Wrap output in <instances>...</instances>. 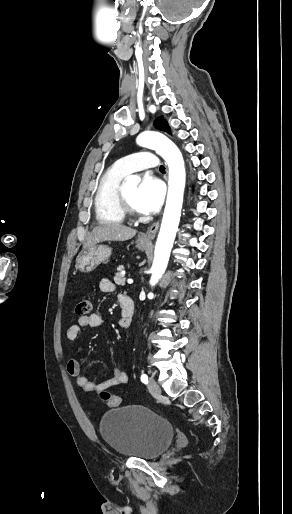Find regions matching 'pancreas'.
<instances>
[{
	"instance_id": "1",
	"label": "pancreas",
	"mask_w": 292,
	"mask_h": 514,
	"mask_svg": "<svg viewBox=\"0 0 292 514\" xmlns=\"http://www.w3.org/2000/svg\"><path fill=\"white\" fill-rule=\"evenodd\" d=\"M122 272H124V268H123V266H119V268H117V272L114 276V282H115V284H118V286H125L126 278H124V276H122Z\"/></svg>"
}]
</instances>
